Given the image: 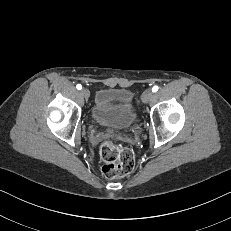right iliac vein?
<instances>
[{"mask_svg":"<svg viewBox=\"0 0 231 231\" xmlns=\"http://www.w3.org/2000/svg\"><path fill=\"white\" fill-rule=\"evenodd\" d=\"M81 95L84 97V98H88L90 96V92L88 89L86 88H83L81 91H80Z\"/></svg>","mask_w":231,"mask_h":231,"instance_id":"obj_1","label":"right iliac vein"}]
</instances>
